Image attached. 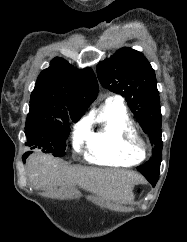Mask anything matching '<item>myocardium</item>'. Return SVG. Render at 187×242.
<instances>
[{
  "mask_svg": "<svg viewBox=\"0 0 187 242\" xmlns=\"http://www.w3.org/2000/svg\"><path fill=\"white\" fill-rule=\"evenodd\" d=\"M127 144L130 149L139 154L142 158H145L150 150L148 142L138 133L129 135Z\"/></svg>",
  "mask_w": 187,
  "mask_h": 242,
  "instance_id": "1",
  "label": "myocardium"
}]
</instances>
